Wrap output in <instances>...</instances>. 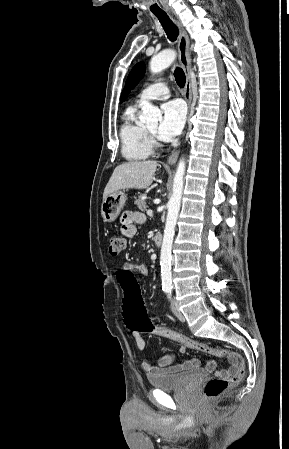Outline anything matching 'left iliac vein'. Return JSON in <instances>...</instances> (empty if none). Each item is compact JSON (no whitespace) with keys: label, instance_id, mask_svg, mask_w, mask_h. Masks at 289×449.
<instances>
[{"label":"left iliac vein","instance_id":"obj_1","mask_svg":"<svg viewBox=\"0 0 289 449\" xmlns=\"http://www.w3.org/2000/svg\"><path fill=\"white\" fill-rule=\"evenodd\" d=\"M171 309L173 311V313L175 314V316L181 320V321H185L184 315L182 314V312L180 311L177 302L173 299L171 301Z\"/></svg>","mask_w":289,"mask_h":449}]
</instances>
